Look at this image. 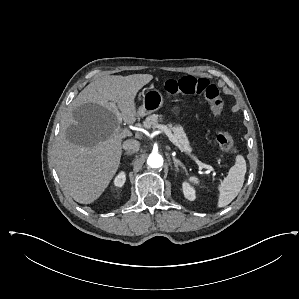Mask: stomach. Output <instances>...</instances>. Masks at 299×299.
<instances>
[{
    "instance_id": "stomach-1",
    "label": "stomach",
    "mask_w": 299,
    "mask_h": 299,
    "mask_svg": "<svg viewBox=\"0 0 299 299\" xmlns=\"http://www.w3.org/2000/svg\"><path fill=\"white\" fill-rule=\"evenodd\" d=\"M163 105V96L157 89L151 88L143 93L142 105L138 109V116L144 117L159 110Z\"/></svg>"
}]
</instances>
